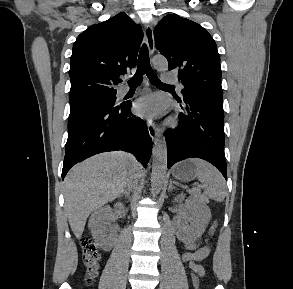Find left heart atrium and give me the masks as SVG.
I'll list each match as a JSON object with an SVG mask.
<instances>
[{
    "instance_id": "1",
    "label": "left heart atrium",
    "mask_w": 293,
    "mask_h": 289,
    "mask_svg": "<svg viewBox=\"0 0 293 289\" xmlns=\"http://www.w3.org/2000/svg\"><path fill=\"white\" fill-rule=\"evenodd\" d=\"M163 109L162 99L156 94L141 97L135 104L137 114L146 118L158 116L162 113Z\"/></svg>"
}]
</instances>
